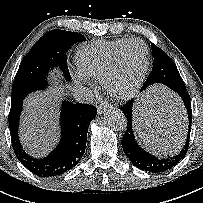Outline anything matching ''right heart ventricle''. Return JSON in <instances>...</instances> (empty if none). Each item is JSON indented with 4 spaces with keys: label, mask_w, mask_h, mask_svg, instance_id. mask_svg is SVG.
Returning a JSON list of instances; mask_svg holds the SVG:
<instances>
[{
    "label": "right heart ventricle",
    "mask_w": 203,
    "mask_h": 203,
    "mask_svg": "<svg viewBox=\"0 0 203 203\" xmlns=\"http://www.w3.org/2000/svg\"><path fill=\"white\" fill-rule=\"evenodd\" d=\"M129 39L95 42L80 47L76 53V62L86 77L102 79L119 49Z\"/></svg>",
    "instance_id": "1"
}]
</instances>
